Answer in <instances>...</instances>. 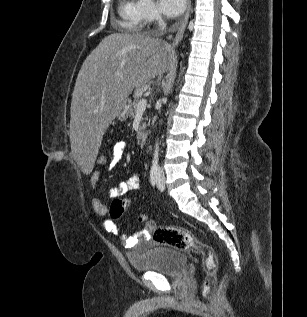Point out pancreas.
Returning a JSON list of instances; mask_svg holds the SVG:
<instances>
[{"mask_svg": "<svg viewBox=\"0 0 307 317\" xmlns=\"http://www.w3.org/2000/svg\"><path fill=\"white\" fill-rule=\"evenodd\" d=\"M143 90L142 89H137L134 93V101L131 105L130 111H129V117L134 118L135 113L137 111V105L138 102L142 96ZM145 120H148V118H145ZM146 129V123L144 122L140 127H139V131H138V136L137 139H141V140H145L146 135L144 133Z\"/></svg>", "mask_w": 307, "mask_h": 317, "instance_id": "cf45deb5", "label": "pancreas"}]
</instances>
